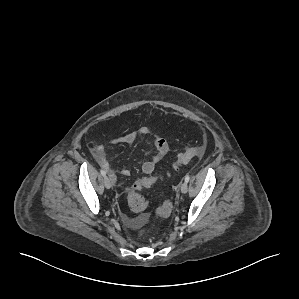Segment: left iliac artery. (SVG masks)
<instances>
[{"label":"left iliac artery","mask_w":299,"mask_h":299,"mask_svg":"<svg viewBox=\"0 0 299 299\" xmlns=\"http://www.w3.org/2000/svg\"><path fill=\"white\" fill-rule=\"evenodd\" d=\"M189 180H190V176L187 174L186 176H185V182H189Z\"/></svg>","instance_id":"44dca946"}]
</instances>
